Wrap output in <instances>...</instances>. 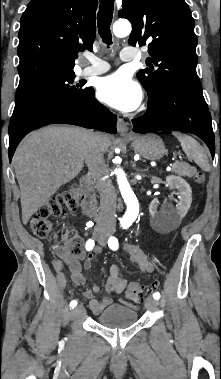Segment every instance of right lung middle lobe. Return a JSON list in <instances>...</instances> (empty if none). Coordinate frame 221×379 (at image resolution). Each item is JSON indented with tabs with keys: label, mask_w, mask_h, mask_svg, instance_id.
Wrapping results in <instances>:
<instances>
[{
	"label": "right lung middle lobe",
	"mask_w": 221,
	"mask_h": 379,
	"mask_svg": "<svg viewBox=\"0 0 221 379\" xmlns=\"http://www.w3.org/2000/svg\"><path fill=\"white\" fill-rule=\"evenodd\" d=\"M74 71L43 73L19 82L15 108L9 124V134L37 115L56 107L75 102L89 87L74 82Z\"/></svg>",
	"instance_id": "1"
}]
</instances>
